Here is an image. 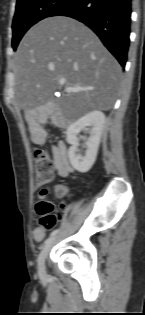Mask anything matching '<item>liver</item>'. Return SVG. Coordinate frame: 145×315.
I'll list each match as a JSON object with an SVG mask.
<instances>
[{
    "mask_svg": "<svg viewBox=\"0 0 145 315\" xmlns=\"http://www.w3.org/2000/svg\"><path fill=\"white\" fill-rule=\"evenodd\" d=\"M14 102L24 109L28 121L38 110L52 115L54 122L72 124L93 110L111 109L122 69L96 34L70 17L41 20L21 40L13 65ZM65 89L93 88L79 92Z\"/></svg>",
    "mask_w": 145,
    "mask_h": 315,
    "instance_id": "1",
    "label": "liver"
}]
</instances>
